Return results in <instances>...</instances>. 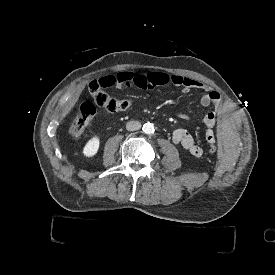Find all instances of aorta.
Wrapping results in <instances>:
<instances>
[{"label": "aorta", "mask_w": 275, "mask_h": 275, "mask_svg": "<svg viewBox=\"0 0 275 275\" xmlns=\"http://www.w3.org/2000/svg\"><path fill=\"white\" fill-rule=\"evenodd\" d=\"M142 130L144 133L146 134H153L155 129H154V125L150 122L145 123L142 127Z\"/></svg>", "instance_id": "762f6f07"}]
</instances>
